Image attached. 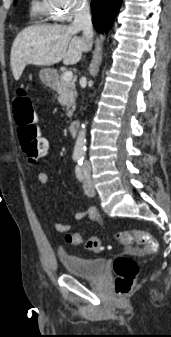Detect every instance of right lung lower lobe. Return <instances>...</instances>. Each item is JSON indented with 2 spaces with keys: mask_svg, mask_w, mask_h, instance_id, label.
I'll return each mask as SVG.
<instances>
[{
  "mask_svg": "<svg viewBox=\"0 0 171 337\" xmlns=\"http://www.w3.org/2000/svg\"><path fill=\"white\" fill-rule=\"evenodd\" d=\"M122 0H92V22L100 33L108 32L120 8Z\"/></svg>",
  "mask_w": 171,
  "mask_h": 337,
  "instance_id": "98d812e1",
  "label": "right lung lower lobe"
}]
</instances>
